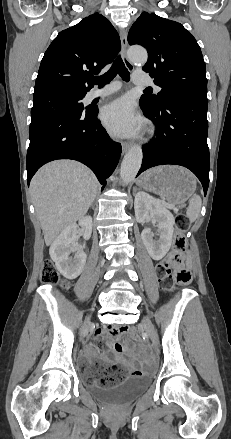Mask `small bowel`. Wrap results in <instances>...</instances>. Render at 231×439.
Here are the masks:
<instances>
[{"instance_id": "c3829d8e", "label": "small bowel", "mask_w": 231, "mask_h": 439, "mask_svg": "<svg viewBox=\"0 0 231 439\" xmlns=\"http://www.w3.org/2000/svg\"><path fill=\"white\" fill-rule=\"evenodd\" d=\"M117 336L118 332L116 329H97L93 336L92 343L86 350V358L93 360V363L96 366H98L97 361L100 360L105 363L108 368L114 366V364H121L128 367L134 374L141 373L136 366L133 353L128 347H125L116 341ZM104 337L109 342L112 356L108 354L100 355L97 351V345Z\"/></svg>"}]
</instances>
